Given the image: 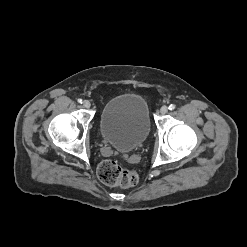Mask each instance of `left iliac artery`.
<instances>
[{
  "instance_id": "1",
  "label": "left iliac artery",
  "mask_w": 247,
  "mask_h": 247,
  "mask_svg": "<svg viewBox=\"0 0 247 247\" xmlns=\"http://www.w3.org/2000/svg\"><path fill=\"white\" fill-rule=\"evenodd\" d=\"M176 106L174 104L169 105V110H174Z\"/></svg>"
}]
</instances>
